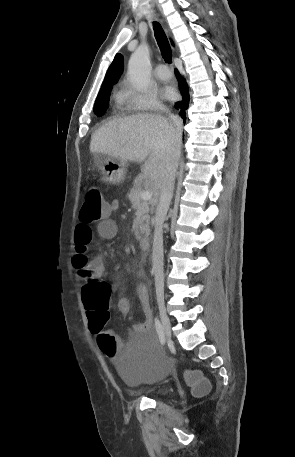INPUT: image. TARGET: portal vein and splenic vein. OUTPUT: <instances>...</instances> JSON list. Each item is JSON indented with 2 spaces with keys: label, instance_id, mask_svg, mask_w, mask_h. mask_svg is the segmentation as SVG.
Returning <instances> with one entry per match:
<instances>
[{
  "label": "portal vein and splenic vein",
  "instance_id": "obj_1",
  "mask_svg": "<svg viewBox=\"0 0 295 457\" xmlns=\"http://www.w3.org/2000/svg\"><path fill=\"white\" fill-rule=\"evenodd\" d=\"M152 195H153V193H152L151 190H144V191L142 192V194H141V198H142L143 200H146V201H147V200H150V199L152 198Z\"/></svg>",
  "mask_w": 295,
  "mask_h": 457
}]
</instances>
